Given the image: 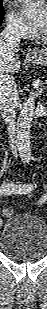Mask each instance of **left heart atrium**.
<instances>
[{
    "instance_id": "39dd6f15",
    "label": "left heart atrium",
    "mask_w": 47,
    "mask_h": 309,
    "mask_svg": "<svg viewBox=\"0 0 47 309\" xmlns=\"http://www.w3.org/2000/svg\"><path fill=\"white\" fill-rule=\"evenodd\" d=\"M21 11L35 27L42 28L46 24V9L42 1L26 0Z\"/></svg>"
}]
</instances>
